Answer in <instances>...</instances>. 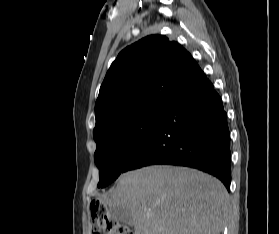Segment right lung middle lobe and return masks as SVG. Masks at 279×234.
Instances as JSON below:
<instances>
[{
  "instance_id": "1",
  "label": "right lung middle lobe",
  "mask_w": 279,
  "mask_h": 234,
  "mask_svg": "<svg viewBox=\"0 0 279 234\" xmlns=\"http://www.w3.org/2000/svg\"><path fill=\"white\" fill-rule=\"evenodd\" d=\"M166 107L150 106L119 115L100 128L94 136V159L99 168L98 187H106L123 171L125 165L146 140Z\"/></svg>"
}]
</instances>
